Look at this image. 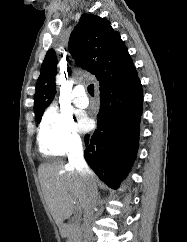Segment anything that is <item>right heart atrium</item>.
Listing matches in <instances>:
<instances>
[{
    "instance_id": "d8ad5b80",
    "label": "right heart atrium",
    "mask_w": 187,
    "mask_h": 242,
    "mask_svg": "<svg viewBox=\"0 0 187 242\" xmlns=\"http://www.w3.org/2000/svg\"><path fill=\"white\" fill-rule=\"evenodd\" d=\"M39 144L43 152L61 156L78 150L81 138L71 114L49 107L39 128Z\"/></svg>"
}]
</instances>
